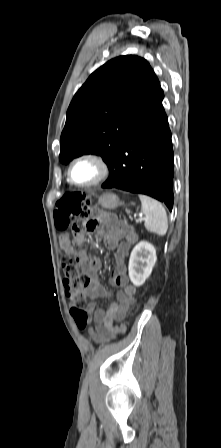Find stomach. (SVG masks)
Listing matches in <instances>:
<instances>
[{
	"label": "stomach",
	"mask_w": 221,
	"mask_h": 448,
	"mask_svg": "<svg viewBox=\"0 0 221 448\" xmlns=\"http://www.w3.org/2000/svg\"><path fill=\"white\" fill-rule=\"evenodd\" d=\"M98 203L105 209H115L119 205H121V202L119 198L113 194V193H104L101 195L98 199Z\"/></svg>",
	"instance_id": "1"
}]
</instances>
